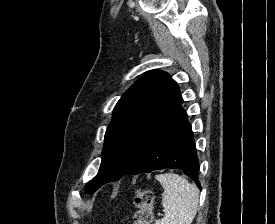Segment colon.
<instances>
[{
    "label": "colon",
    "mask_w": 275,
    "mask_h": 224,
    "mask_svg": "<svg viewBox=\"0 0 275 224\" xmlns=\"http://www.w3.org/2000/svg\"><path fill=\"white\" fill-rule=\"evenodd\" d=\"M153 193L148 189H138L135 192L134 204L136 212L133 224H149L152 220Z\"/></svg>",
    "instance_id": "obj_1"
}]
</instances>
